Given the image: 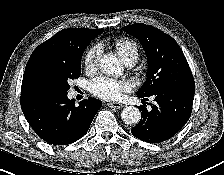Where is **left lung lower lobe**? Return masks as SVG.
I'll use <instances>...</instances> for the list:
<instances>
[{"label":"left lung lower lobe","mask_w":224,"mask_h":175,"mask_svg":"<svg viewBox=\"0 0 224 175\" xmlns=\"http://www.w3.org/2000/svg\"><path fill=\"white\" fill-rule=\"evenodd\" d=\"M195 86L167 85L149 96H138L143 100L154 98L149 111L141 110L140 122L132 128L136 138L148 143H161L172 138L189 120L192 112Z\"/></svg>","instance_id":"left-lung-lower-lobe-1"}]
</instances>
